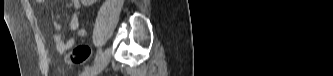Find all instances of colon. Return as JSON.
Returning a JSON list of instances; mask_svg holds the SVG:
<instances>
[{
    "mask_svg": "<svg viewBox=\"0 0 333 76\" xmlns=\"http://www.w3.org/2000/svg\"><path fill=\"white\" fill-rule=\"evenodd\" d=\"M91 48L88 45H79L65 56V61L69 64H83L91 56Z\"/></svg>",
    "mask_w": 333,
    "mask_h": 76,
    "instance_id": "1",
    "label": "colon"
}]
</instances>
